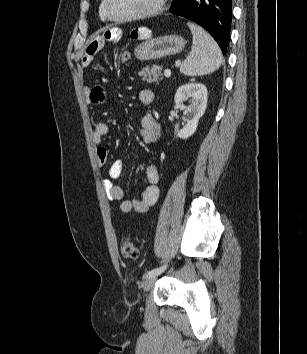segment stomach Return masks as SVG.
Returning <instances> with one entry per match:
<instances>
[{"instance_id": "stomach-1", "label": "stomach", "mask_w": 307, "mask_h": 354, "mask_svg": "<svg viewBox=\"0 0 307 354\" xmlns=\"http://www.w3.org/2000/svg\"><path fill=\"white\" fill-rule=\"evenodd\" d=\"M151 31L146 27L134 29L132 38L145 39L135 48V56L141 61L161 59L180 53L185 46V40L176 34L150 38Z\"/></svg>"}]
</instances>
